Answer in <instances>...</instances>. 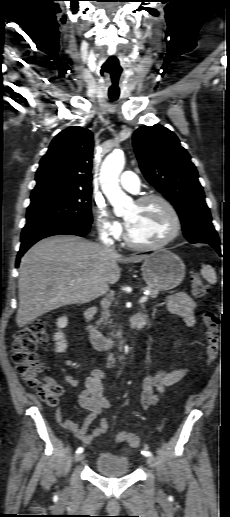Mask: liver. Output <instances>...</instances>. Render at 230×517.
<instances>
[{"label": "liver", "instance_id": "liver-1", "mask_svg": "<svg viewBox=\"0 0 230 517\" xmlns=\"http://www.w3.org/2000/svg\"><path fill=\"white\" fill-rule=\"evenodd\" d=\"M146 258L124 257L112 248L76 236L37 242L22 257L19 267L18 327L51 310L83 304L107 293L109 285L120 279L118 262L139 263Z\"/></svg>", "mask_w": 230, "mask_h": 517}]
</instances>
